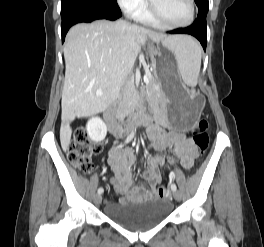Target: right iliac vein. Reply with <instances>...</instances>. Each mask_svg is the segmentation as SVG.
Instances as JSON below:
<instances>
[{
  "label": "right iliac vein",
  "mask_w": 264,
  "mask_h": 247,
  "mask_svg": "<svg viewBox=\"0 0 264 247\" xmlns=\"http://www.w3.org/2000/svg\"><path fill=\"white\" fill-rule=\"evenodd\" d=\"M95 204H100L102 200V196L100 194H96L93 198Z\"/></svg>",
  "instance_id": "right-iliac-vein-1"
}]
</instances>
